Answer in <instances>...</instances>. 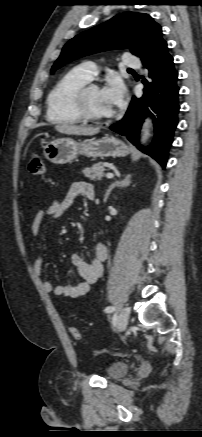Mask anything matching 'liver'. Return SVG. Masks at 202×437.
Here are the masks:
<instances>
[{
	"instance_id": "1",
	"label": "liver",
	"mask_w": 202,
	"mask_h": 437,
	"mask_svg": "<svg viewBox=\"0 0 202 437\" xmlns=\"http://www.w3.org/2000/svg\"><path fill=\"white\" fill-rule=\"evenodd\" d=\"M56 131L67 135H94L100 132V128L76 126L68 124H58L55 126Z\"/></svg>"
}]
</instances>
